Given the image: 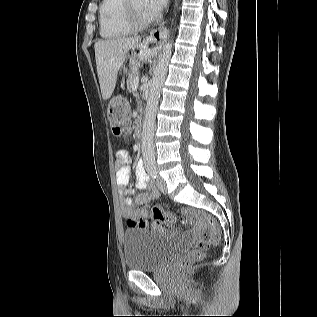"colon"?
Segmentation results:
<instances>
[{
	"instance_id": "5ec220e1",
	"label": "colon",
	"mask_w": 317,
	"mask_h": 317,
	"mask_svg": "<svg viewBox=\"0 0 317 317\" xmlns=\"http://www.w3.org/2000/svg\"><path fill=\"white\" fill-rule=\"evenodd\" d=\"M108 120L115 135H122L129 124V105L122 95L114 96L108 103ZM151 215L157 222L175 221L174 215L164 211L160 207H154ZM182 221H199L206 225L207 229L201 234L198 242L176 263V269L184 271L201 261L205 252L220 240V229L217 222L205 212L197 210H183ZM128 225L131 227H143L145 222L142 219H129Z\"/></svg>"
}]
</instances>
